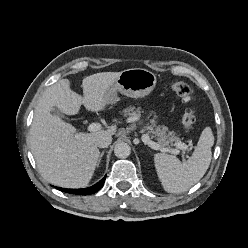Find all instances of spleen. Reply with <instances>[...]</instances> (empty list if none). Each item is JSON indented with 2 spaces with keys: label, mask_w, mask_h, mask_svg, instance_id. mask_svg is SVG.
I'll return each mask as SVG.
<instances>
[{
  "label": "spleen",
  "mask_w": 248,
  "mask_h": 248,
  "mask_svg": "<svg viewBox=\"0 0 248 248\" xmlns=\"http://www.w3.org/2000/svg\"><path fill=\"white\" fill-rule=\"evenodd\" d=\"M213 144L212 130L210 127H205L197 147L187 161L180 162L175 156L169 154H156L155 168L164 190L169 193H182L195 185L210 165Z\"/></svg>",
  "instance_id": "3e777b00"
}]
</instances>
